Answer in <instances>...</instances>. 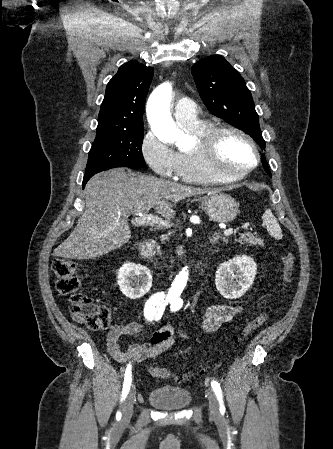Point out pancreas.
<instances>
[{
    "label": "pancreas",
    "mask_w": 333,
    "mask_h": 449,
    "mask_svg": "<svg viewBox=\"0 0 333 449\" xmlns=\"http://www.w3.org/2000/svg\"><path fill=\"white\" fill-rule=\"evenodd\" d=\"M235 240L241 244H248L254 247L263 245L261 238L250 232L239 233Z\"/></svg>",
    "instance_id": "cf45deb5"
}]
</instances>
